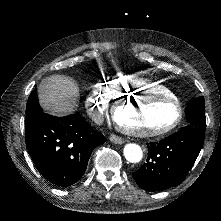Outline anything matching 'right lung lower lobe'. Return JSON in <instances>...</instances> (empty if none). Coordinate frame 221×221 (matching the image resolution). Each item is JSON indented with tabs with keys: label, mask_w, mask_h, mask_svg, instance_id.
Listing matches in <instances>:
<instances>
[{
	"label": "right lung lower lobe",
	"mask_w": 221,
	"mask_h": 221,
	"mask_svg": "<svg viewBox=\"0 0 221 221\" xmlns=\"http://www.w3.org/2000/svg\"><path fill=\"white\" fill-rule=\"evenodd\" d=\"M25 138L40 174L60 187L70 186L83 176L92 151L105 141L79 115L54 117L42 109L26 114Z\"/></svg>",
	"instance_id": "98d812e1"
}]
</instances>
